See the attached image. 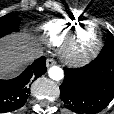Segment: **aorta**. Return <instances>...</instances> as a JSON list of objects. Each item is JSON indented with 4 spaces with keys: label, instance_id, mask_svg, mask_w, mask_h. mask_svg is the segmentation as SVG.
I'll return each instance as SVG.
<instances>
[{
    "label": "aorta",
    "instance_id": "aorta-1",
    "mask_svg": "<svg viewBox=\"0 0 114 114\" xmlns=\"http://www.w3.org/2000/svg\"><path fill=\"white\" fill-rule=\"evenodd\" d=\"M48 75L51 79H53L55 81H59V80L63 79L64 71L59 66H52L48 71Z\"/></svg>",
    "mask_w": 114,
    "mask_h": 114
}]
</instances>
